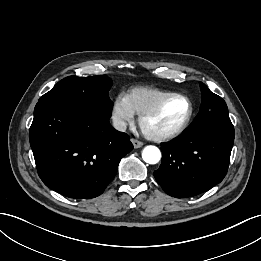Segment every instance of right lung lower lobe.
Segmentation results:
<instances>
[{"mask_svg":"<svg viewBox=\"0 0 261 261\" xmlns=\"http://www.w3.org/2000/svg\"><path fill=\"white\" fill-rule=\"evenodd\" d=\"M29 139L44 184L75 199L102 194L133 149L100 111L51 103L36 104Z\"/></svg>","mask_w":261,"mask_h":261,"instance_id":"obj_1","label":"right lung lower lobe"}]
</instances>
